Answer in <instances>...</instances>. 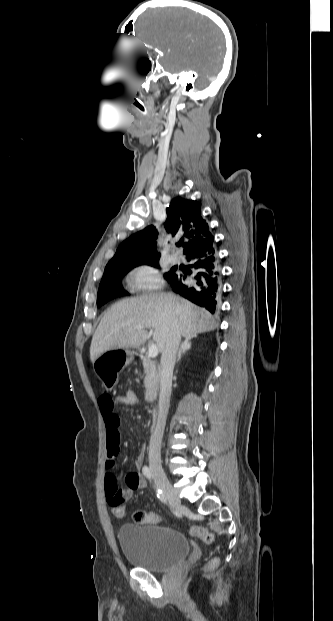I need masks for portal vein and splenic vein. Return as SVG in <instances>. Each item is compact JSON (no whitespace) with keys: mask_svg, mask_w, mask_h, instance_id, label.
Here are the masks:
<instances>
[{"mask_svg":"<svg viewBox=\"0 0 333 621\" xmlns=\"http://www.w3.org/2000/svg\"><path fill=\"white\" fill-rule=\"evenodd\" d=\"M142 329H143L142 327H139V328H138V331H141ZM157 355H158V348H157V345L152 343V344L149 346V349H148V356H149L150 358H155Z\"/></svg>","mask_w":333,"mask_h":621,"instance_id":"portal-vein-and-splenic-vein-1","label":"portal vein and splenic vein"}]
</instances>
